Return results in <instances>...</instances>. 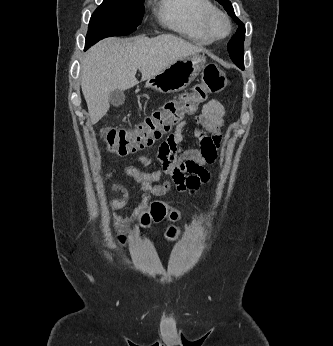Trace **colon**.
Here are the masks:
<instances>
[{
  "instance_id": "colon-1",
  "label": "colon",
  "mask_w": 333,
  "mask_h": 346,
  "mask_svg": "<svg viewBox=\"0 0 333 346\" xmlns=\"http://www.w3.org/2000/svg\"><path fill=\"white\" fill-rule=\"evenodd\" d=\"M227 80L221 69L215 64L205 67L201 81L190 92L181 94L177 99L167 101L164 105L147 116L132 129L106 127L102 130L103 138L109 150L117 155H127L139 151L160 140L171 127L186 115L196 112L199 105L210 95L217 94L226 86ZM166 217L172 221L179 218L178 212L169 210L162 202L151 203L149 209L142 213L140 222L143 226L159 223ZM176 228L168 231L174 237Z\"/></svg>"
}]
</instances>
